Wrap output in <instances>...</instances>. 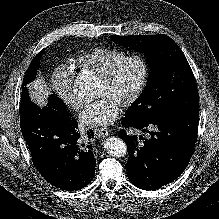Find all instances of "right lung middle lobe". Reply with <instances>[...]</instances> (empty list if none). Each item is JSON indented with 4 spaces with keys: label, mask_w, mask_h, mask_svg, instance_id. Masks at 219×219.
<instances>
[{
    "label": "right lung middle lobe",
    "mask_w": 219,
    "mask_h": 219,
    "mask_svg": "<svg viewBox=\"0 0 219 219\" xmlns=\"http://www.w3.org/2000/svg\"><path fill=\"white\" fill-rule=\"evenodd\" d=\"M45 49H43L42 51H40L32 60L31 64L29 65L24 79H23V85H26L28 82H30L31 80H33L37 74V71L40 67V60H41V56L44 53ZM48 105H50L51 107L56 108L57 110L61 111V112H65V113H69L64 104L62 103V101L55 95H50L49 96V103Z\"/></svg>",
    "instance_id": "right-lung-middle-lobe-1"
}]
</instances>
